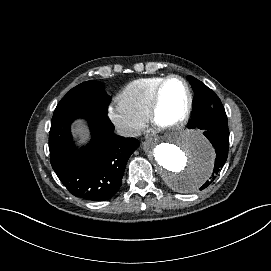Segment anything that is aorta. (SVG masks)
Wrapping results in <instances>:
<instances>
[{"label": "aorta", "mask_w": 271, "mask_h": 271, "mask_svg": "<svg viewBox=\"0 0 271 271\" xmlns=\"http://www.w3.org/2000/svg\"><path fill=\"white\" fill-rule=\"evenodd\" d=\"M144 149L155 171L174 191L196 192L211 176L214 149L200 132H171L160 140L147 142Z\"/></svg>", "instance_id": "obj_1"}]
</instances>
